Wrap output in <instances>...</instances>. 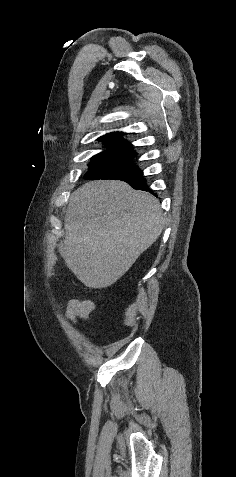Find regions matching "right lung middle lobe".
Listing matches in <instances>:
<instances>
[{
  "label": "right lung middle lobe",
  "instance_id": "obj_1",
  "mask_svg": "<svg viewBox=\"0 0 236 477\" xmlns=\"http://www.w3.org/2000/svg\"><path fill=\"white\" fill-rule=\"evenodd\" d=\"M127 166L117 163H111L107 161L93 160L89 164V170L84 175L85 179H101L106 176L112 175Z\"/></svg>",
  "mask_w": 236,
  "mask_h": 477
}]
</instances>
